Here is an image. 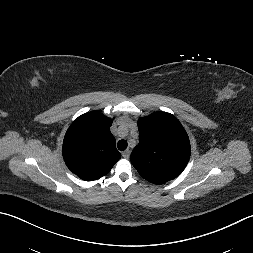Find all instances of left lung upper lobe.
Returning <instances> with one entry per match:
<instances>
[{
	"instance_id": "5c2ea615",
	"label": "left lung upper lobe",
	"mask_w": 253,
	"mask_h": 253,
	"mask_svg": "<svg viewBox=\"0 0 253 253\" xmlns=\"http://www.w3.org/2000/svg\"><path fill=\"white\" fill-rule=\"evenodd\" d=\"M140 142L131 154L139 174L154 184L176 178L186 167L191 153L189 138L178 119L155 112L138 121Z\"/></svg>"
}]
</instances>
